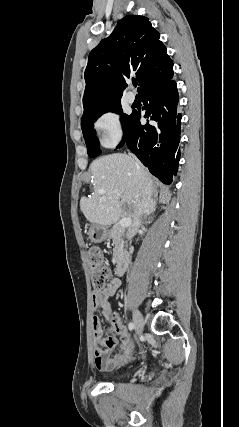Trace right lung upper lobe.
I'll list each match as a JSON object with an SVG mask.
<instances>
[{"mask_svg": "<svg viewBox=\"0 0 239 427\" xmlns=\"http://www.w3.org/2000/svg\"><path fill=\"white\" fill-rule=\"evenodd\" d=\"M159 38L146 17L129 15L118 22L89 55L83 116L99 106L120 102L125 78L135 75L140 92L173 71V61Z\"/></svg>", "mask_w": 239, "mask_h": 427, "instance_id": "obj_1", "label": "right lung upper lobe"}]
</instances>
